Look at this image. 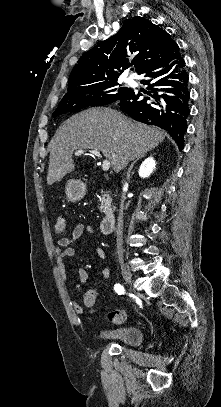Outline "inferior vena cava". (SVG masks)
<instances>
[{
    "label": "inferior vena cava",
    "mask_w": 221,
    "mask_h": 407,
    "mask_svg": "<svg viewBox=\"0 0 221 407\" xmlns=\"http://www.w3.org/2000/svg\"><path fill=\"white\" fill-rule=\"evenodd\" d=\"M119 210V215L117 217V228H116V241H117V254L120 262H123V204H121Z\"/></svg>",
    "instance_id": "602c4592"
}]
</instances>
